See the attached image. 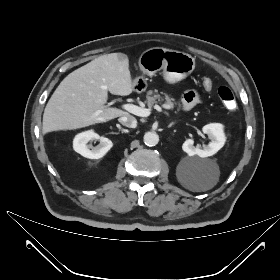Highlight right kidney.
Masks as SVG:
<instances>
[{"label": "right kidney", "mask_w": 280, "mask_h": 280, "mask_svg": "<svg viewBox=\"0 0 280 280\" xmlns=\"http://www.w3.org/2000/svg\"><path fill=\"white\" fill-rule=\"evenodd\" d=\"M98 140L100 143L93 147L88 142ZM113 146L111 140L106 137L99 136L93 130L79 133L73 140V149L82 156L89 159L102 158Z\"/></svg>", "instance_id": "ca27d5eb"}]
</instances>
